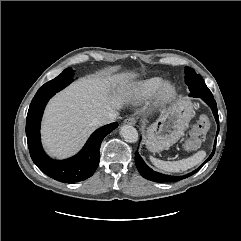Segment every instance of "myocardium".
I'll return each mask as SVG.
<instances>
[{"mask_svg": "<svg viewBox=\"0 0 241 241\" xmlns=\"http://www.w3.org/2000/svg\"><path fill=\"white\" fill-rule=\"evenodd\" d=\"M177 93L176 86L171 82H164L154 93L153 103L155 106H162L175 98Z\"/></svg>", "mask_w": 241, "mask_h": 241, "instance_id": "f54148a6", "label": "myocardium"}]
</instances>
